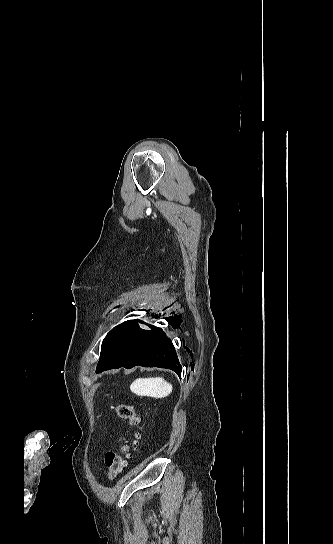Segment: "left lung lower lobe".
<instances>
[{"mask_svg":"<svg viewBox=\"0 0 333 544\" xmlns=\"http://www.w3.org/2000/svg\"><path fill=\"white\" fill-rule=\"evenodd\" d=\"M170 323L177 326L175 321ZM136 365L167 368L181 375V365L175 348L163 330L157 327L150 331L140 330L134 342L127 347L107 349L105 359L97 366L96 372L120 367L129 369Z\"/></svg>","mask_w":333,"mask_h":544,"instance_id":"left-lung-lower-lobe-1","label":"left lung lower lobe"}]
</instances>
